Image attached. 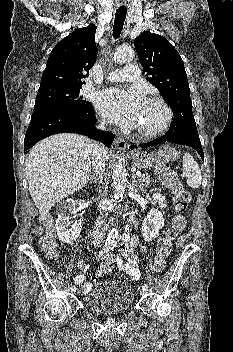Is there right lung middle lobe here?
<instances>
[{
  "label": "right lung middle lobe",
  "instance_id": "1",
  "mask_svg": "<svg viewBox=\"0 0 233 352\" xmlns=\"http://www.w3.org/2000/svg\"><path fill=\"white\" fill-rule=\"evenodd\" d=\"M81 88L82 85H47L40 87L33 113L92 106L90 102L82 99Z\"/></svg>",
  "mask_w": 233,
  "mask_h": 352
}]
</instances>
